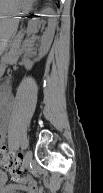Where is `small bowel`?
I'll list each match as a JSON object with an SVG mask.
<instances>
[{
    "label": "small bowel",
    "instance_id": "c3829d8e",
    "mask_svg": "<svg viewBox=\"0 0 103 193\" xmlns=\"http://www.w3.org/2000/svg\"><path fill=\"white\" fill-rule=\"evenodd\" d=\"M14 98L13 96L5 92L2 99V118L0 123V135L1 144L5 145L7 140V122L8 115L13 106ZM15 183L9 184L7 175L5 172H0L1 188L3 193H43L41 186H37L31 179L15 175L13 177Z\"/></svg>",
    "mask_w": 103,
    "mask_h": 193
}]
</instances>
